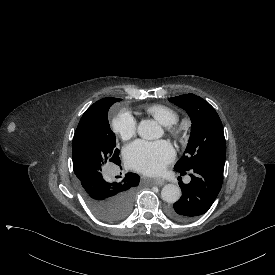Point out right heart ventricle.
I'll return each instance as SVG.
<instances>
[{"mask_svg":"<svg viewBox=\"0 0 275 275\" xmlns=\"http://www.w3.org/2000/svg\"><path fill=\"white\" fill-rule=\"evenodd\" d=\"M147 112L152 115L157 122L166 127H171L178 120L176 112L165 105H152L147 108Z\"/></svg>","mask_w":275,"mask_h":275,"instance_id":"1","label":"right heart ventricle"}]
</instances>
